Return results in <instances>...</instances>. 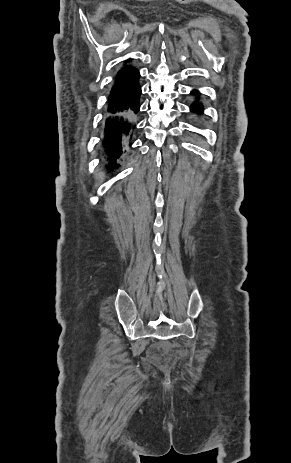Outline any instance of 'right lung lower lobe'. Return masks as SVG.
I'll list each match as a JSON object with an SVG mask.
<instances>
[{
    "mask_svg": "<svg viewBox=\"0 0 291 463\" xmlns=\"http://www.w3.org/2000/svg\"><path fill=\"white\" fill-rule=\"evenodd\" d=\"M139 77V72L130 77H117L113 87H119L123 91L119 96L108 99L101 147L105 167L110 171L120 167L119 159L132 145L136 118L140 110Z\"/></svg>",
    "mask_w": 291,
    "mask_h": 463,
    "instance_id": "right-lung-lower-lobe-1",
    "label": "right lung lower lobe"
}]
</instances>
